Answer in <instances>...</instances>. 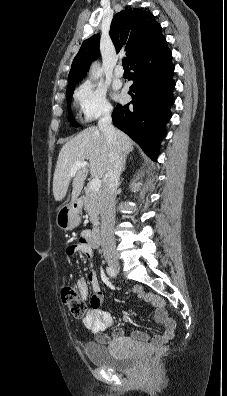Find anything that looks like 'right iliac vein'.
<instances>
[{"label":"right iliac vein","instance_id":"obj_1","mask_svg":"<svg viewBox=\"0 0 227 396\" xmlns=\"http://www.w3.org/2000/svg\"><path fill=\"white\" fill-rule=\"evenodd\" d=\"M108 263H109V266H110L112 269H114V270H116L117 268H119V264H118L117 261L110 260Z\"/></svg>","mask_w":227,"mask_h":396}]
</instances>
